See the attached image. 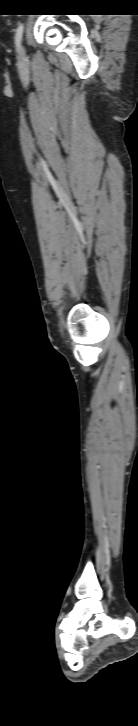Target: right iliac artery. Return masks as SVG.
I'll return each instance as SVG.
<instances>
[{"mask_svg":"<svg viewBox=\"0 0 138 726\" xmlns=\"http://www.w3.org/2000/svg\"><path fill=\"white\" fill-rule=\"evenodd\" d=\"M23 29H24L23 24H20V26L18 27V29L16 31V35H15V42H16V45H17V49L18 50L20 48V43H21V40H22Z\"/></svg>","mask_w":138,"mask_h":726,"instance_id":"right-iliac-artery-1","label":"right iliac artery"}]
</instances>
